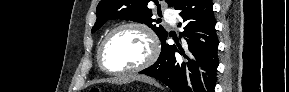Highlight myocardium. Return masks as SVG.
<instances>
[{"mask_svg": "<svg viewBox=\"0 0 289 92\" xmlns=\"http://www.w3.org/2000/svg\"><path fill=\"white\" fill-rule=\"evenodd\" d=\"M128 28L138 29L141 32H143V34L146 36V38L149 42V47H150L149 54H148L147 58L142 63H140L139 65H137L135 67L124 69V70H110L104 64V59H103L106 45L108 44L110 39L117 32H119L123 29H128ZM159 53H160L159 40H158L155 32L153 31V29L150 26H148L147 24L142 23V22H125V23L119 24L118 26L113 28L104 37V39L102 40V42L98 48L97 61H98L100 69L107 74H110V75H127V74H133V73L140 72V71L148 68L149 66H151L157 60Z\"/></svg>", "mask_w": 289, "mask_h": 92, "instance_id": "f54148a6", "label": "myocardium"}]
</instances>
